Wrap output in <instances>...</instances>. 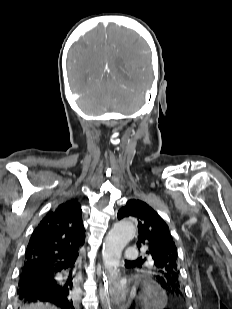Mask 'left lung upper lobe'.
I'll use <instances>...</instances> for the list:
<instances>
[{
    "mask_svg": "<svg viewBox=\"0 0 232 309\" xmlns=\"http://www.w3.org/2000/svg\"><path fill=\"white\" fill-rule=\"evenodd\" d=\"M117 217L119 220L134 217L138 221L137 246L144 251V258L138 260V266L149 263L153 267L154 278L168 295L183 296L177 248L163 219L145 202L134 199L118 211Z\"/></svg>",
    "mask_w": 232,
    "mask_h": 309,
    "instance_id": "5c2ea615",
    "label": "left lung upper lobe"
}]
</instances>
